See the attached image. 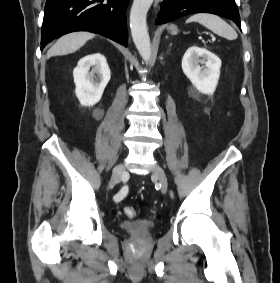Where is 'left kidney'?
Instances as JSON below:
<instances>
[{
  "mask_svg": "<svg viewBox=\"0 0 280 283\" xmlns=\"http://www.w3.org/2000/svg\"><path fill=\"white\" fill-rule=\"evenodd\" d=\"M220 68L221 60L215 54L197 46L189 47L182 59L184 74L202 94L214 93L220 76Z\"/></svg>",
  "mask_w": 280,
  "mask_h": 283,
  "instance_id": "5707ae66",
  "label": "left kidney"
}]
</instances>
